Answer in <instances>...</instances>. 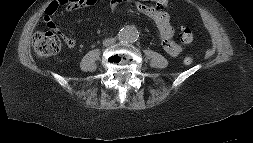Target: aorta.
<instances>
[{
	"label": "aorta",
	"mask_w": 253,
	"mask_h": 143,
	"mask_svg": "<svg viewBox=\"0 0 253 143\" xmlns=\"http://www.w3.org/2000/svg\"><path fill=\"white\" fill-rule=\"evenodd\" d=\"M138 37L139 31L134 26H125L118 33V38L122 42L133 43Z\"/></svg>",
	"instance_id": "1"
}]
</instances>
